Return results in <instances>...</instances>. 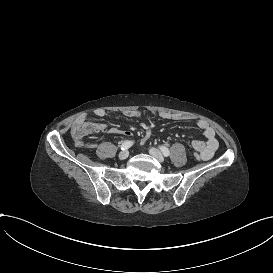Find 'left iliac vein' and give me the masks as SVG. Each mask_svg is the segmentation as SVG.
<instances>
[{"instance_id":"obj_1","label":"left iliac vein","mask_w":273,"mask_h":273,"mask_svg":"<svg viewBox=\"0 0 273 273\" xmlns=\"http://www.w3.org/2000/svg\"><path fill=\"white\" fill-rule=\"evenodd\" d=\"M150 154L152 156H154L159 162H163L164 158L162 153L160 152V150L156 149V148H150L149 150Z\"/></svg>"}]
</instances>
